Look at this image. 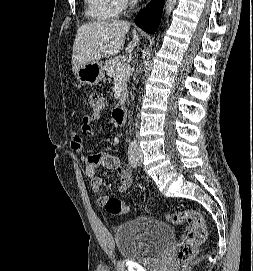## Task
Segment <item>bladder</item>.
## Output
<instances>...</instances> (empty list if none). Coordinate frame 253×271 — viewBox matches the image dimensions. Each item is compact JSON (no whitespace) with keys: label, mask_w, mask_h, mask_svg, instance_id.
Returning a JSON list of instances; mask_svg holds the SVG:
<instances>
[{"label":"bladder","mask_w":253,"mask_h":271,"mask_svg":"<svg viewBox=\"0 0 253 271\" xmlns=\"http://www.w3.org/2000/svg\"><path fill=\"white\" fill-rule=\"evenodd\" d=\"M172 239V228L156 218H135L119 225L115 231L120 256L138 263L155 261Z\"/></svg>","instance_id":"31cf9c89"}]
</instances>
